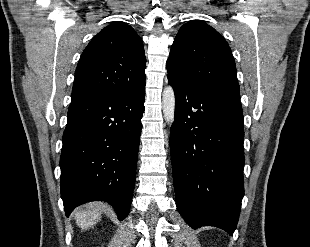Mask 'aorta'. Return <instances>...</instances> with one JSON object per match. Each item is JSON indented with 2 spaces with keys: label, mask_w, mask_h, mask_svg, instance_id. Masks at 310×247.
Returning <instances> with one entry per match:
<instances>
[{
  "label": "aorta",
  "mask_w": 310,
  "mask_h": 247,
  "mask_svg": "<svg viewBox=\"0 0 310 247\" xmlns=\"http://www.w3.org/2000/svg\"><path fill=\"white\" fill-rule=\"evenodd\" d=\"M162 107L164 119L171 126L175 117V95L171 86L166 87L163 91Z\"/></svg>",
  "instance_id": "1"
}]
</instances>
